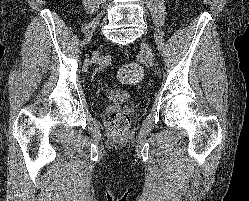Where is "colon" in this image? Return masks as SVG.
Instances as JSON below:
<instances>
[{"instance_id":"colon-1","label":"colon","mask_w":249,"mask_h":201,"mask_svg":"<svg viewBox=\"0 0 249 201\" xmlns=\"http://www.w3.org/2000/svg\"><path fill=\"white\" fill-rule=\"evenodd\" d=\"M117 76L123 84L135 85L141 81L143 69L136 63L124 64L118 70ZM106 126L114 138L123 139L130 126V117L123 111H114L107 116Z\"/></svg>"}]
</instances>
